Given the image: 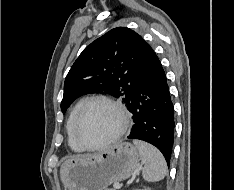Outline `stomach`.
<instances>
[{"label": "stomach", "instance_id": "stomach-1", "mask_svg": "<svg viewBox=\"0 0 234 190\" xmlns=\"http://www.w3.org/2000/svg\"><path fill=\"white\" fill-rule=\"evenodd\" d=\"M138 162L137 148L121 142L98 154L66 160L60 178L68 190H106L110 184L128 179Z\"/></svg>", "mask_w": 234, "mask_h": 190}]
</instances>
